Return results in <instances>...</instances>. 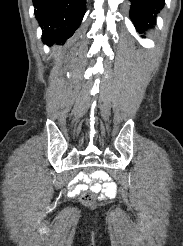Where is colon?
I'll use <instances>...</instances> for the list:
<instances>
[{"label": "colon", "mask_w": 183, "mask_h": 246, "mask_svg": "<svg viewBox=\"0 0 183 246\" xmlns=\"http://www.w3.org/2000/svg\"><path fill=\"white\" fill-rule=\"evenodd\" d=\"M95 170L94 167H85L84 171L85 172H93ZM107 177H109L107 175ZM81 201L84 205L86 206H91L94 204L95 202V195L92 192L89 191H85L82 195H81Z\"/></svg>", "instance_id": "colon-1"}]
</instances>
